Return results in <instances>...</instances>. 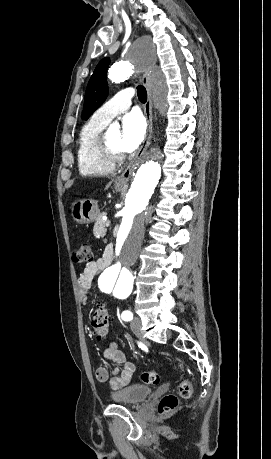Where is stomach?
I'll use <instances>...</instances> for the list:
<instances>
[{
  "label": "stomach",
  "instance_id": "stomach-1",
  "mask_svg": "<svg viewBox=\"0 0 271 459\" xmlns=\"http://www.w3.org/2000/svg\"><path fill=\"white\" fill-rule=\"evenodd\" d=\"M126 186H114L115 192H122ZM100 210L95 200H76L72 204L71 216L77 224H91L96 220Z\"/></svg>",
  "mask_w": 271,
  "mask_h": 459
}]
</instances>
